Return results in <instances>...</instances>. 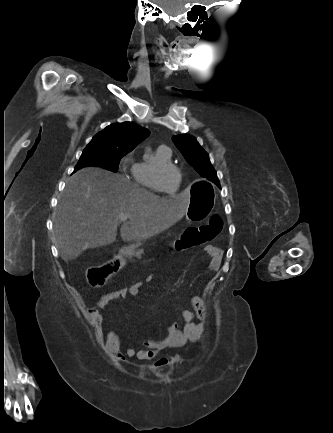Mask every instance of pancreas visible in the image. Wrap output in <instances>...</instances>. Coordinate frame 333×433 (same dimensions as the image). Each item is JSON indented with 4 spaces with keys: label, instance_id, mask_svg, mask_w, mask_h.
I'll return each instance as SVG.
<instances>
[{
    "label": "pancreas",
    "instance_id": "obj_1",
    "mask_svg": "<svg viewBox=\"0 0 333 433\" xmlns=\"http://www.w3.org/2000/svg\"><path fill=\"white\" fill-rule=\"evenodd\" d=\"M140 244H141V243L138 242L136 245L131 246V247H129V248H126L124 253H125L126 255L130 256V257H131V256H135V257H137V258H140V257H141V254H142V251H141V250H136Z\"/></svg>",
    "mask_w": 333,
    "mask_h": 433
}]
</instances>
